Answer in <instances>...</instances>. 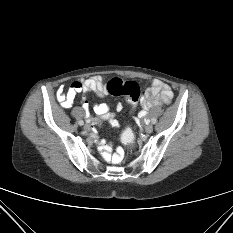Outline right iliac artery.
<instances>
[{"label":"right iliac artery","instance_id":"obj_1","mask_svg":"<svg viewBox=\"0 0 233 233\" xmlns=\"http://www.w3.org/2000/svg\"><path fill=\"white\" fill-rule=\"evenodd\" d=\"M78 123H79V125H83L84 124L83 120H80Z\"/></svg>","mask_w":233,"mask_h":233}]
</instances>
